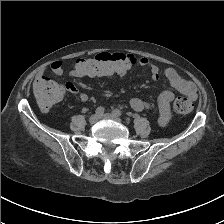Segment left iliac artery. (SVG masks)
<instances>
[{
	"label": "left iliac artery",
	"instance_id": "44dca946",
	"mask_svg": "<svg viewBox=\"0 0 224 224\" xmlns=\"http://www.w3.org/2000/svg\"><path fill=\"white\" fill-rule=\"evenodd\" d=\"M113 113H114L115 115H117V116H121V115H122V112H121L119 109H115V110L113 111Z\"/></svg>",
	"mask_w": 224,
	"mask_h": 224
}]
</instances>
